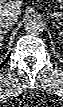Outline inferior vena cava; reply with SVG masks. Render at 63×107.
<instances>
[{
	"instance_id": "602c4592",
	"label": "inferior vena cava",
	"mask_w": 63,
	"mask_h": 107,
	"mask_svg": "<svg viewBox=\"0 0 63 107\" xmlns=\"http://www.w3.org/2000/svg\"><path fill=\"white\" fill-rule=\"evenodd\" d=\"M18 20V15L10 12L0 13V27L10 29Z\"/></svg>"
}]
</instances>
